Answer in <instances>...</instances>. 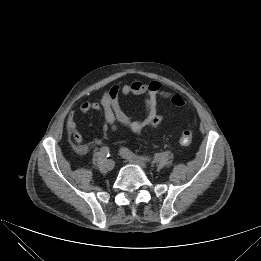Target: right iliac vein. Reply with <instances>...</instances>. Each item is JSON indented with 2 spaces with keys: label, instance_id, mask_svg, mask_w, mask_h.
Wrapping results in <instances>:
<instances>
[{
  "label": "right iliac vein",
  "instance_id": "right-iliac-vein-1",
  "mask_svg": "<svg viewBox=\"0 0 261 261\" xmlns=\"http://www.w3.org/2000/svg\"><path fill=\"white\" fill-rule=\"evenodd\" d=\"M114 167H115V162L112 159L106 161V168L108 170H112L114 169Z\"/></svg>",
  "mask_w": 261,
  "mask_h": 261
}]
</instances>
